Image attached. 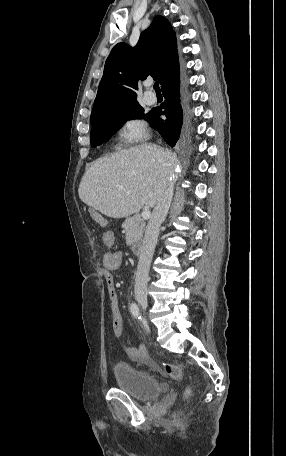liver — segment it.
Masks as SVG:
<instances>
[{
  "mask_svg": "<svg viewBox=\"0 0 286 456\" xmlns=\"http://www.w3.org/2000/svg\"><path fill=\"white\" fill-rule=\"evenodd\" d=\"M175 165V155L160 146L131 147L93 162L82 177L79 197L105 216L127 217L156 205Z\"/></svg>",
  "mask_w": 286,
  "mask_h": 456,
  "instance_id": "obj_1",
  "label": "liver"
}]
</instances>
